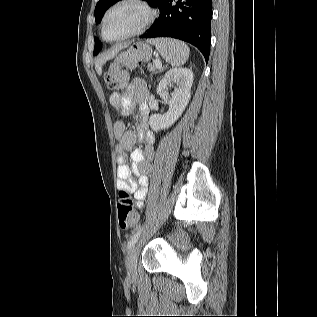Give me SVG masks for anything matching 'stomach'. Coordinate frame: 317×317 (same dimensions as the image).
<instances>
[{"label": "stomach", "mask_w": 317, "mask_h": 317, "mask_svg": "<svg viewBox=\"0 0 317 317\" xmlns=\"http://www.w3.org/2000/svg\"><path fill=\"white\" fill-rule=\"evenodd\" d=\"M117 57H122V65L130 69L135 66H147V62L152 57V49L147 43L136 42Z\"/></svg>", "instance_id": "obj_1"}]
</instances>
